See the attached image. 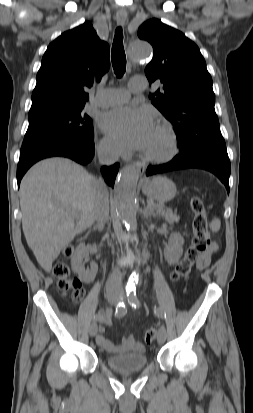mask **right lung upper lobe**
I'll return each mask as SVG.
<instances>
[{"instance_id":"obj_1","label":"right lung upper lobe","mask_w":253,"mask_h":413,"mask_svg":"<svg viewBox=\"0 0 253 413\" xmlns=\"http://www.w3.org/2000/svg\"><path fill=\"white\" fill-rule=\"evenodd\" d=\"M109 46L89 22L64 32L47 48L29 112L84 105L86 92L109 69Z\"/></svg>"}]
</instances>
